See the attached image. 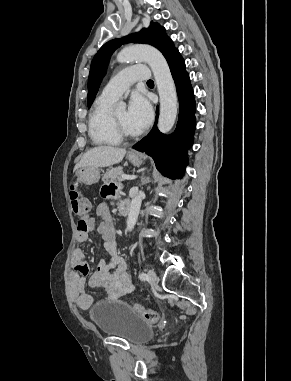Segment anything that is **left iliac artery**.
<instances>
[{
  "label": "left iliac artery",
  "mask_w": 291,
  "mask_h": 381,
  "mask_svg": "<svg viewBox=\"0 0 291 381\" xmlns=\"http://www.w3.org/2000/svg\"><path fill=\"white\" fill-rule=\"evenodd\" d=\"M146 278H147V275H146L144 272H141V273L139 274V279H140V280H146Z\"/></svg>",
  "instance_id": "left-iliac-artery-1"
}]
</instances>
